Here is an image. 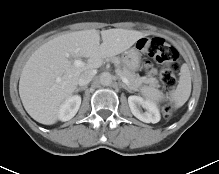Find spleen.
Wrapping results in <instances>:
<instances>
[{"instance_id":"1","label":"spleen","mask_w":219,"mask_h":174,"mask_svg":"<svg viewBox=\"0 0 219 174\" xmlns=\"http://www.w3.org/2000/svg\"><path fill=\"white\" fill-rule=\"evenodd\" d=\"M140 92L144 98L148 101L158 103L163 99L162 93L151 87L144 86L140 89ZM191 93V76L189 67L187 64H183L180 71L179 84L171 94V99L175 103V107L182 106L189 98Z\"/></svg>"}]
</instances>
